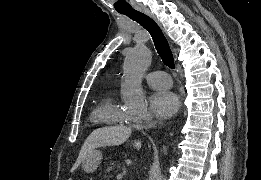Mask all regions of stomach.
<instances>
[{
  "instance_id": "obj_1",
  "label": "stomach",
  "mask_w": 261,
  "mask_h": 180,
  "mask_svg": "<svg viewBox=\"0 0 261 180\" xmlns=\"http://www.w3.org/2000/svg\"><path fill=\"white\" fill-rule=\"evenodd\" d=\"M102 160V153L99 150L91 151L82 162V167L86 173L94 172Z\"/></svg>"
}]
</instances>
